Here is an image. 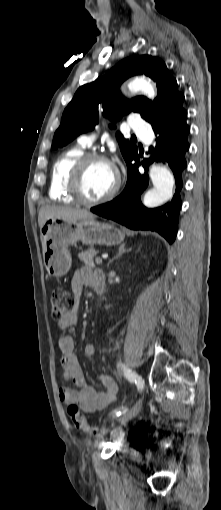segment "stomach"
<instances>
[{
	"instance_id": "stomach-1",
	"label": "stomach",
	"mask_w": 221,
	"mask_h": 510,
	"mask_svg": "<svg viewBox=\"0 0 221 510\" xmlns=\"http://www.w3.org/2000/svg\"><path fill=\"white\" fill-rule=\"evenodd\" d=\"M124 238V233L112 223L95 219L65 221L49 218L41 228L44 264L50 276L62 277L71 267L70 245L81 241L86 245L113 246Z\"/></svg>"
}]
</instances>
